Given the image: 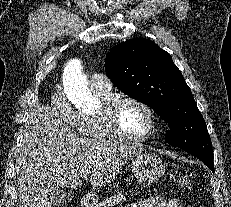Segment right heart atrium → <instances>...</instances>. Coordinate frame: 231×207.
Segmentation results:
<instances>
[{
  "label": "right heart atrium",
  "mask_w": 231,
  "mask_h": 207,
  "mask_svg": "<svg viewBox=\"0 0 231 207\" xmlns=\"http://www.w3.org/2000/svg\"><path fill=\"white\" fill-rule=\"evenodd\" d=\"M50 104L61 123L70 128L79 127L80 114L71 107L61 89H56L52 93Z\"/></svg>",
  "instance_id": "right-heart-atrium-1"
}]
</instances>
